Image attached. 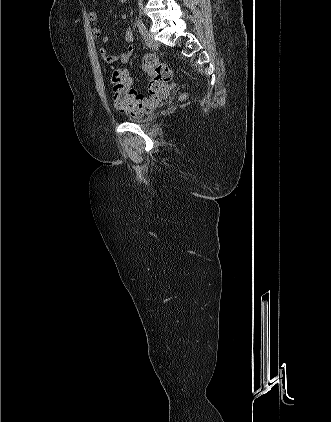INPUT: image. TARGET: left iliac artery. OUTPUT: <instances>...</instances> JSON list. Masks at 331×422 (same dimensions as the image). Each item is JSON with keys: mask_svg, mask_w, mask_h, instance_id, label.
<instances>
[{"mask_svg": "<svg viewBox=\"0 0 331 422\" xmlns=\"http://www.w3.org/2000/svg\"><path fill=\"white\" fill-rule=\"evenodd\" d=\"M136 25L138 27L139 32L144 35V33L147 31L144 23L139 18H136Z\"/></svg>", "mask_w": 331, "mask_h": 422, "instance_id": "left-iliac-artery-1", "label": "left iliac artery"}]
</instances>
